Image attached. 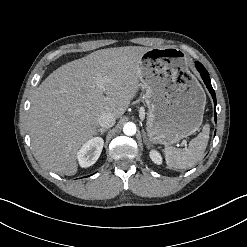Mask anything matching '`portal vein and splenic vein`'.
I'll return each mask as SVG.
<instances>
[{"label":"portal vein and splenic vein","instance_id":"18ae733b","mask_svg":"<svg viewBox=\"0 0 247 247\" xmlns=\"http://www.w3.org/2000/svg\"><path fill=\"white\" fill-rule=\"evenodd\" d=\"M183 145H186V143H185V142H182V146H183Z\"/></svg>","mask_w":247,"mask_h":247}]
</instances>
